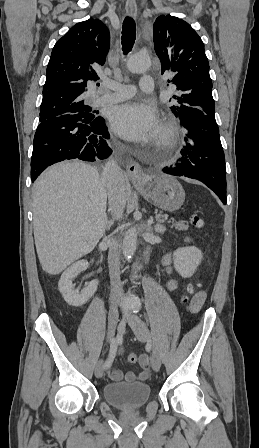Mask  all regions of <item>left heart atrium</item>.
Returning <instances> with one entry per match:
<instances>
[{
    "label": "left heart atrium",
    "instance_id": "39dd6f15",
    "mask_svg": "<svg viewBox=\"0 0 259 448\" xmlns=\"http://www.w3.org/2000/svg\"><path fill=\"white\" fill-rule=\"evenodd\" d=\"M111 126L119 136L133 142L157 137L160 132L156 108L143 101H131L116 107L111 114Z\"/></svg>",
    "mask_w": 259,
    "mask_h": 448
}]
</instances>
